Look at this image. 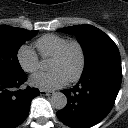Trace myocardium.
Segmentation results:
<instances>
[{
  "mask_svg": "<svg viewBox=\"0 0 128 128\" xmlns=\"http://www.w3.org/2000/svg\"><path fill=\"white\" fill-rule=\"evenodd\" d=\"M73 48H76L77 51L79 52L80 66H79L77 73L75 75H73L72 77H70L69 79H67L69 82L78 81L82 77V75L85 71L86 53H85V49H84L83 45L79 41L70 40L63 46V48L56 55H54L52 57L53 60L63 61L67 57L69 51Z\"/></svg>",
  "mask_w": 128,
  "mask_h": 128,
  "instance_id": "obj_1",
  "label": "myocardium"
}]
</instances>
